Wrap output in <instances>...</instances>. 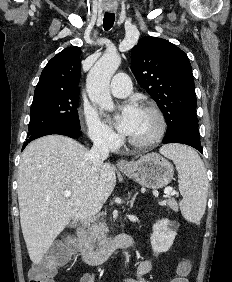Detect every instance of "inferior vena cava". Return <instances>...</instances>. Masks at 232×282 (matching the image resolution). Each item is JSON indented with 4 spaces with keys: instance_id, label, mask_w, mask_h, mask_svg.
<instances>
[{
    "instance_id": "602c4592",
    "label": "inferior vena cava",
    "mask_w": 232,
    "mask_h": 282,
    "mask_svg": "<svg viewBox=\"0 0 232 282\" xmlns=\"http://www.w3.org/2000/svg\"><path fill=\"white\" fill-rule=\"evenodd\" d=\"M109 156V142L108 138L104 135L95 138L93 146L89 151L88 157L91 162L92 170L97 173Z\"/></svg>"
}]
</instances>
